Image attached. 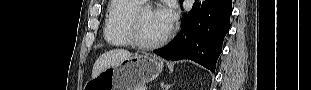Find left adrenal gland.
Segmentation results:
<instances>
[{
	"instance_id": "1",
	"label": "left adrenal gland",
	"mask_w": 311,
	"mask_h": 90,
	"mask_svg": "<svg viewBox=\"0 0 311 90\" xmlns=\"http://www.w3.org/2000/svg\"><path fill=\"white\" fill-rule=\"evenodd\" d=\"M161 86H162L163 90H169V88H170L172 85L164 84V82H162V83H161Z\"/></svg>"
}]
</instances>
